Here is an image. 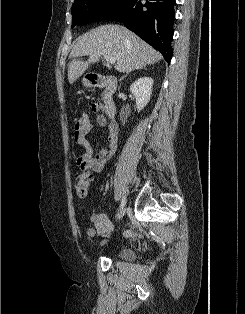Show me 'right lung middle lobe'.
<instances>
[{"mask_svg": "<svg viewBox=\"0 0 245 314\" xmlns=\"http://www.w3.org/2000/svg\"><path fill=\"white\" fill-rule=\"evenodd\" d=\"M130 0H77L74 2L72 27L106 19L114 12L124 7Z\"/></svg>", "mask_w": 245, "mask_h": 314, "instance_id": "obj_1", "label": "right lung middle lobe"}]
</instances>
